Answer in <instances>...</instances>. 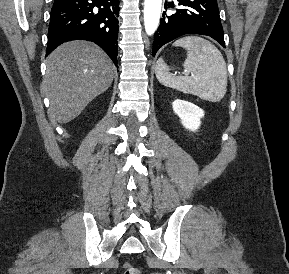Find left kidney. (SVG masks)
I'll return each instance as SVG.
<instances>
[{"mask_svg":"<svg viewBox=\"0 0 289 274\" xmlns=\"http://www.w3.org/2000/svg\"><path fill=\"white\" fill-rule=\"evenodd\" d=\"M174 112L181 119L182 125L190 130L196 131L201 121L200 119L204 116V111L198 106L188 101L177 99L172 103Z\"/></svg>","mask_w":289,"mask_h":274,"instance_id":"1","label":"left kidney"}]
</instances>
